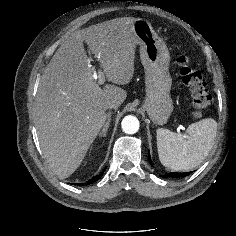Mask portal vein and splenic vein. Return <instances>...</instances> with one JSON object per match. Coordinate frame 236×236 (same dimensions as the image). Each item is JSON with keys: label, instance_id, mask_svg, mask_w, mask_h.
I'll use <instances>...</instances> for the list:
<instances>
[{"label": "portal vein and splenic vein", "instance_id": "obj_1", "mask_svg": "<svg viewBox=\"0 0 236 236\" xmlns=\"http://www.w3.org/2000/svg\"><path fill=\"white\" fill-rule=\"evenodd\" d=\"M93 77L98 79L99 84H103L105 82V75L102 70H98V72L93 68Z\"/></svg>", "mask_w": 236, "mask_h": 236}]
</instances>
